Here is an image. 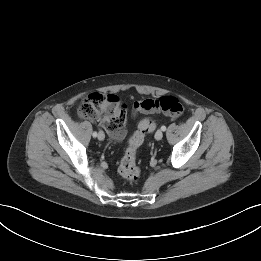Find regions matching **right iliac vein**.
Returning a JSON list of instances; mask_svg holds the SVG:
<instances>
[{
    "mask_svg": "<svg viewBox=\"0 0 261 261\" xmlns=\"http://www.w3.org/2000/svg\"><path fill=\"white\" fill-rule=\"evenodd\" d=\"M104 138H105V134H104L102 131H100V132L98 133V139H99L100 141H102V140H104Z\"/></svg>",
    "mask_w": 261,
    "mask_h": 261,
    "instance_id": "right-iliac-vein-1",
    "label": "right iliac vein"
}]
</instances>
